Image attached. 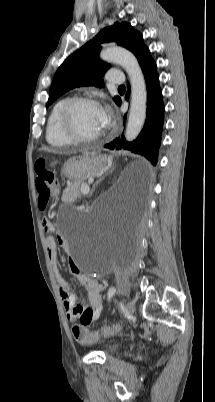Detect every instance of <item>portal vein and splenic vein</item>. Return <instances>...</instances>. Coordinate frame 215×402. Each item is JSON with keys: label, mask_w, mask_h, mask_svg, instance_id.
Wrapping results in <instances>:
<instances>
[{"label": "portal vein and splenic vein", "mask_w": 215, "mask_h": 402, "mask_svg": "<svg viewBox=\"0 0 215 402\" xmlns=\"http://www.w3.org/2000/svg\"><path fill=\"white\" fill-rule=\"evenodd\" d=\"M89 186H82V193L84 194V195H86V194H88L89 193Z\"/></svg>", "instance_id": "1"}]
</instances>
